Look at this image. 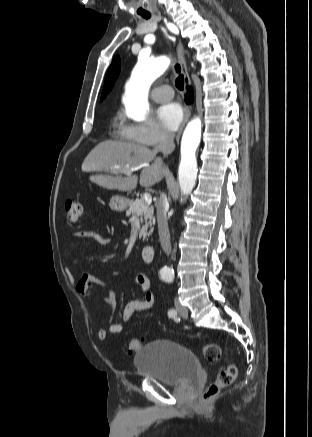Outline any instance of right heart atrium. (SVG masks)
Listing matches in <instances>:
<instances>
[{"label": "right heart atrium", "instance_id": "1", "mask_svg": "<svg viewBox=\"0 0 312 437\" xmlns=\"http://www.w3.org/2000/svg\"><path fill=\"white\" fill-rule=\"evenodd\" d=\"M119 136L122 140L146 146H155L170 141L171 136L152 119L142 122H124Z\"/></svg>", "mask_w": 312, "mask_h": 437}]
</instances>
